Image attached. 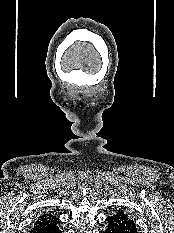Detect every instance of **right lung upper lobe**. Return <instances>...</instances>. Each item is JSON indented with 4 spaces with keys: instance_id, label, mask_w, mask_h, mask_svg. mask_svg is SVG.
I'll list each match as a JSON object with an SVG mask.
<instances>
[{
    "instance_id": "obj_1",
    "label": "right lung upper lobe",
    "mask_w": 174,
    "mask_h": 233,
    "mask_svg": "<svg viewBox=\"0 0 174 233\" xmlns=\"http://www.w3.org/2000/svg\"><path fill=\"white\" fill-rule=\"evenodd\" d=\"M59 223V220L50 214H43L42 216L38 217L37 220L33 223V227L31 229V233L34 231L51 227Z\"/></svg>"
}]
</instances>
